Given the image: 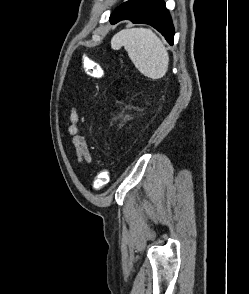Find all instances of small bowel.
Instances as JSON below:
<instances>
[{"instance_id":"small-bowel-1","label":"small bowel","mask_w":249,"mask_h":294,"mask_svg":"<svg viewBox=\"0 0 249 294\" xmlns=\"http://www.w3.org/2000/svg\"><path fill=\"white\" fill-rule=\"evenodd\" d=\"M69 119L68 134L72 140L75 162L79 166L90 165L92 163V155L86 139L78 134L77 124L79 122V115L76 108L71 109Z\"/></svg>"}]
</instances>
